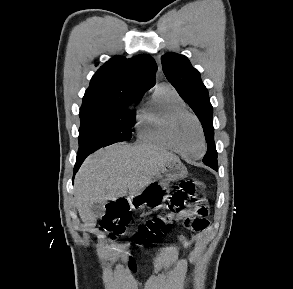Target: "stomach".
I'll list each match as a JSON object with an SVG mask.
<instances>
[{
    "mask_svg": "<svg viewBox=\"0 0 293 289\" xmlns=\"http://www.w3.org/2000/svg\"><path fill=\"white\" fill-rule=\"evenodd\" d=\"M187 174V168L180 161L166 164L139 194L129 197L131 208L159 210L168 198L170 182L181 180Z\"/></svg>",
    "mask_w": 293,
    "mask_h": 289,
    "instance_id": "obj_1",
    "label": "stomach"
}]
</instances>
